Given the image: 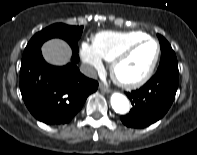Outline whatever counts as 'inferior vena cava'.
<instances>
[{
    "label": "inferior vena cava",
    "instance_id": "inferior-vena-cava-1",
    "mask_svg": "<svg viewBox=\"0 0 197 155\" xmlns=\"http://www.w3.org/2000/svg\"><path fill=\"white\" fill-rule=\"evenodd\" d=\"M80 71H81L82 74H84L87 77H90V78H96L97 77L96 70L91 65H88V64L81 65L80 66Z\"/></svg>",
    "mask_w": 197,
    "mask_h": 155
}]
</instances>
